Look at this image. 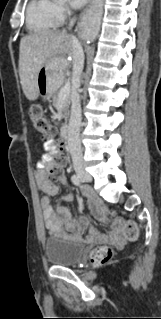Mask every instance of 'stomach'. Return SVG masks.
Instances as JSON below:
<instances>
[{
  "mask_svg": "<svg viewBox=\"0 0 161 319\" xmlns=\"http://www.w3.org/2000/svg\"><path fill=\"white\" fill-rule=\"evenodd\" d=\"M64 69L56 58L49 59L38 73V93L50 98L63 83Z\"/></svg>",
  "mask_w": 161,
  "mask_h": 319,
  "instance_id": "obj_1",
  "label": "stomach"
}]
</instances>
